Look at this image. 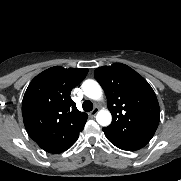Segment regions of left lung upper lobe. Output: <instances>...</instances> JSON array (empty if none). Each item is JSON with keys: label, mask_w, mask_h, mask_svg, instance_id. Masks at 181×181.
Listing matches in <instances>:
<instances>
[{"label": "left lung upper lobe", "mask_w": 181, "mask_h": 181, "mask_svg": "<svg viewBox=\"0 0 181 181\" xmlns=\"http://www.w3.org/2000/svg\"><path fill=\"white\" fill-rule=\"evenodd\" d=\"M95 79L105 91L112 123L107 138L120 143L148 144L160 121L157 97L149 83L122 63L96 68Z\"/></svg>", "instance_id": "1"}]
</instances>
